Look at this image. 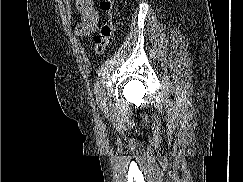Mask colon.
Masks as SVG:
<instances>
[{
    "instance_id": "colon-1",
    "label": "colon",
    "mask_w": 243,
    "mask_h": 182,
    "mask_svg": "<svg viewBox=\"0 0 243 182\" xmlns=\"http://www.w3.org/2000/svg\"><path fill=\"white\" fill-rule=\"evenodd\" d=\"M114 8V0H101L100 9L108 16L98 29L95 37V53L98 55L103 54L112 42L114 25L112 21V11Z\"/></svg>"
}]
</instances>
